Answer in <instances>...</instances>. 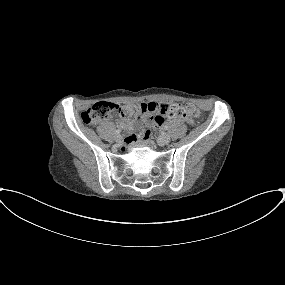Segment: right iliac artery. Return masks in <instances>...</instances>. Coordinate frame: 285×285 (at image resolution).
<instances>
[{"label":"right iliac artery","instance_id":"1","mask_svg":"<svg viewBox=\"0 0 285 285\" xmlns=\"http://www.w3.org/2000/svg\"><path fill=\"white\" fill-rule=\"evenodd\" d=\"M120 132H121V130H119V129H117V130L115 131L116 134H120Z\"/></svg>","mask_w":285,"mask_h":285}]
</instances>
